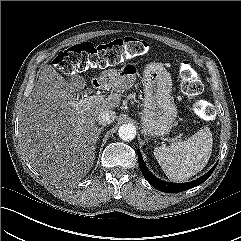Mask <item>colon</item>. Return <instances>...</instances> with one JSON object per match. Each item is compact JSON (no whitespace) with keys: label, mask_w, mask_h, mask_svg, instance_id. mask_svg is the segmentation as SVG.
<instances>
[{"label":"colon","mask_w":241,"mask_h":241,"mask_svg":"<svg viewBox=\"0 0 241 241\" xmlns=\"http://www.w3.org/2000/svg\"><path fill=\"white\" fill-rule=\"evenodd\" d=\"M148 49L145 41L133 37L100 45L85 42L61 51L54 59V65L60 71L71 74L92 67L114 65L123 58L143 55ZM180 75L182 91L187 97L194 98L202 92L203 85L189 61L181 64ZM193 109L201 117L208 118L212 114L210 107L202 100H197Z\"/></svg>","instance_id":"obj_1"}]
</instances>
